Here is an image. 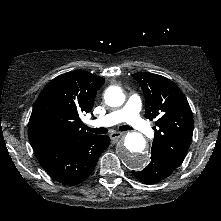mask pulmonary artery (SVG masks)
<instances>
[{
	"label": "pulmonary artery",
	"instance_id": "1",
	"mask_svg": "<svg viewBox=\"0 0 221 221\" xmlns=\"http://www.w3.org/2000/svg\"><path fill=\"white\" fill-rule=\"evenodd\" d=\"M141 99L137 95H132L125 106L119 110L110 112L94 120L91 124L93 126H111L120 122H126L136 130L140 131L146 136H152L153 130L150 125L144 121L140 116Z\"/></svg>",
	"mask_w": 221,
	"mask_h": 221
}]
</instances>
